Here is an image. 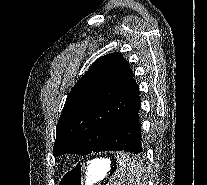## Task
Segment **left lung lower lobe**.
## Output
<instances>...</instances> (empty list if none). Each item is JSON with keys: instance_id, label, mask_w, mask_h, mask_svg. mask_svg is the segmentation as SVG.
Listing matches in <instances>:
<instances>
[{"instance_id": "left-lung-lower-lobe-1", "label": "left lung lower lobe", "mask_w": 207, "mask_h": 185, "mask_svg": "<svg viewBox=\"0 0 207 185\" xmlns=\"http://www.w3.org/2000/svg\"><path fill=\"white\" fill-rule=\"evenodd\" d=\"M140 99L131 106L111 129L102 151H127L142 153L141 129L139 123Z\"/></svg>"}]
</instances>
